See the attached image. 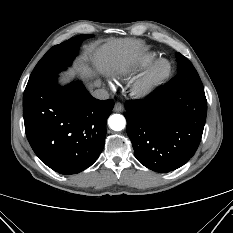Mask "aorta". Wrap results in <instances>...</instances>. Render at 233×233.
<instances>
[{"instance_id": "762f6f07", "label": "aorta", "mask_w": 233, "mask_h": 233, "mask_svg": "<svg viewBox=\"0 0 233 233\" xmlns=\"http://www.w3.org/2000/svg\"><path fill=\"white\" fill-rule=\"evenodd\" d=\"M109 127L114 131H121L125 128L126 120L121 114H113L108 119Z\"/></svg>"}]
</instances>
